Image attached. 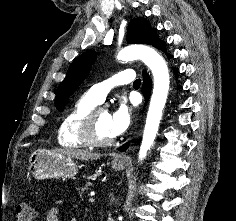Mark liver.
Segmentation results:
<instances>
[{"label":"liver","instance_id":"liver-1","mask_svg":"<svg viewBox=\"0 0 236 221\" xmlns=\"http://www.w3.org/2000/svg\"><path fill=\"white\" fill-rule=\"evenodd\" d=\"M51 152L60 153L80 160H97L101 156L100 154L88 152L85 150H74V149H55L52 150Z\"/></svg>","mask_w":236,"mask_h":221}]
</instances>
